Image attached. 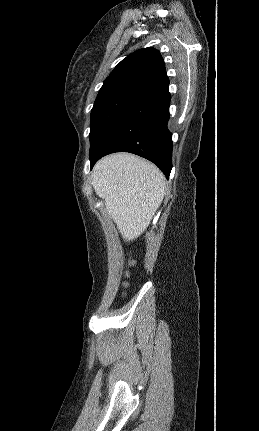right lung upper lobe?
<instances>
[{
	"label": "right lung upper lobe",
	"mask_w": 259,
	"mask_h": 431,
	"mask_svg": "<svg viewBox=\"0 0 259 431\" xmlns=\"http://www.w3.org/2000/svg\"><path fill=\"white\" fill-rule=\"evenodd\" d=\"M131 81L139 82L151 91L169 84L165 64L158 50L148 47L128 55L106 78L100 91Z\"/></svg>",
	"instance_id": "cb5924a9"
}]
</instances>
